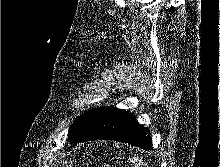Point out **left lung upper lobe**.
<instances>
[{
  "mask_svg": "<svg viewBox=\"0 0 220 167\" xmlns=\"http://www.w3.org/2000/svg\"><path fill=\"white\" fill-rule=\"evenodd\" d=\"M104 109V107L98 108L81 115L69 129V141L72 143L75 140L80 139L91 127V125L95 122V120L98 118V116Z\"/></svg>",
  "mask_w": 220,
  "mask_h": 167,
  "instance_id": "1",
  "label": "left lung upper lobe"
}]
</instances>
